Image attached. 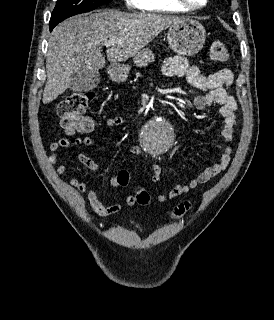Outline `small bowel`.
Instances as JSON below:
<instances>
[{"mask_svg": "<svg viewBox=\"0 0 274 320\" xmlns=\"http://www.w3.org/2000/svg\"><path fill=\"white\" fill-rule=\"evenodd\" d=\"M163 73L166 76H182L185 77L189 85L201 90H207L205 95H198L194 98V105L198 110H205L211 105L216 104L219 106L220 114L223 118V129L221 132L222 141L225 144L231 142L235 136L236 128L238 124L237 109L238 104L235 98L229 93V88L233 85L234 74L230 69L223 68L211 74L205 75L201 73L198 67L190 65L188 60L182 56H172L167 58L163 63ZM124 119L120 116L110 117L105 121V125L108 128H116L123 125ZM78 129L82 128V131L89 132L93 126L96 131L101 129L100 119H79ZM72 145H82L87 147H93L96 145V141L89 137H77L74 140L59 139L53 142L49 150L51 152L49 161L55 164L59 158V150ZM130 153L134 155L143 156V151L137 147L132 146L129 148ZM232 148L230 146L225 147V151L220 153L218 161L207 167L203 172L192 178L186 184H179L174 186L169 192L161 193L157 196V201L160 203H168L174 200L176 197L188 193L197 186L210 181L214 176L224 171L231 159ZM80 163L91 171H97L100 168V164L94 159L88 157L84 153L78 154ZM152 176L151 180L157 183L161 180L162 169L157 163L151 165ZM67 170L65 164H61L57 168V173L63 175ZM120 173H127L122 170ZM118 176V175H117ZM117 176H112L108 179L109 184L118 187L121 186L118 182ZM69 183L74 187L81 195H84L90 205L91 210L101 217H107L117 214L123 211L126 207L134 205L136 202L133 196L126 197L124 203H111L105 205L99 198L97 192L93 188H89L87 184L77 177H71Z\"/></svg>", "mask_w": 274, "mask_h": 320, "instance_id": "1", "label": "small bowel"}]
</instances>
